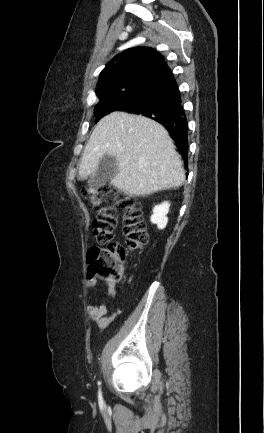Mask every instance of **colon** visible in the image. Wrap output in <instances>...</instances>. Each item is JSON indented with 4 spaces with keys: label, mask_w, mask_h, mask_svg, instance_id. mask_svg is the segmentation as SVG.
<instances>
[{
    "label": "colon",
    "mask_w": 264,
    "mask_h": 433,
    "mask_svg": "<svg viewBox=\"0 0 264 433\" xmlns=\"http://www.w3.org/2000/svg\"><path fill=\"white\" fill-rule=\"evenodd\" d=\"M110 193L108 187H89L83 190V195L90 200L97 211L93 220V232L97 246L88 253L91 276L116 283L122 276V262L131 251L141 249L148 241L142 211L137 200L130 194L115 192V206L123 209V232L126 238L125 246L114 241V229L117 223V211L114 205L104 201Z\"/></svg>",
    "instance_id": "1"
}]
</instances>
